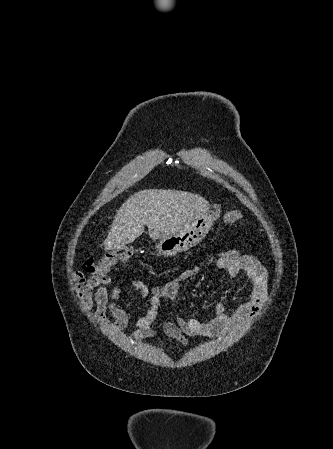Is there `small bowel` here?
<instances>
[{
  "label": "small bowel",
  "instance_id": "obj_1",
  "mask_svg": "<svg viewBox=\"0 0 333 449\" xmlns=\"http://www.w3.org/2000/svg\"><path fill=\"white\" fill-rule=\"evenodd\" d=\"M212 262L216 267L225 270L231 277H235L240 271L246 272V283L250 288L248 299L241 303L233 313H228L225 304L218 302L213 318L207 323L199 322L185 315L178 316L174 321L164 322L163 331L168 343L187 346V337H210L236 332L258 313L265 302L267 271L258 258L240 254L237 250H229L215 257ZM198 272V266L188 268L167 283L152 289H149L142 281L132 282L131 286L139 291L142 298L149 301V309L146 314L136 319L135 339L144 340L155 336V326L162 301L164 299L176 301L181 282L194 277ZM72 279L83 307L91 309L95 305L94 317L96 320L114 331L122 330L127 326L128 314L117 304V300L122 295V289L113 286L108 275L104 273L87 276L85 270H77L73 273Z\"/></svg>",
  "mask_w": 333,
  "mask_h": 449
}]
</instances>
